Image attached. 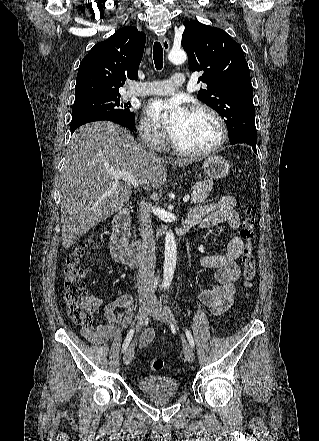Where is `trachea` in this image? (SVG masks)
Wrapping results in <instances>:
<instances>
[{"label":"trachea","instance_id":"obj_1","mask_svg":"<svg viewBox=\"0 0 319 441\" xmlns=\"http://www.w3.org/2000/svg\"><path fill=\"white\" fill-rule=\"evenodd\" d=\"M153 59L155 68L161 70L163 68V48L158 41H156L153 46Z\"/></svg>","mask_w":319,"mask_h":441}]
</instances>
